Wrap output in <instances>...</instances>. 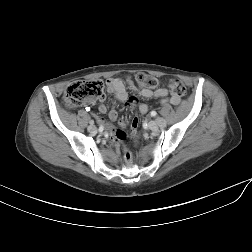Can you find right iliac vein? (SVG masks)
I'll list each match as a JSON object with an SVG mask.
<instances>
[{
	"mask_svg": "<svg viewBox=\"0 0 252 252\" xmlns=\"http://www.w3.org/2000/svg\"><path fill=\"white\" fill-rule=\"evenodd\" d=\"M87 129H88V131L90 133H96L97 132V127L95 125H90V126H88Z\"/></svg>",
	"mask_w": 252,
	"mask_h": 252,
	"instance_id": "obj_1",
	"label": "right iliac vein"
}]
</instances>
